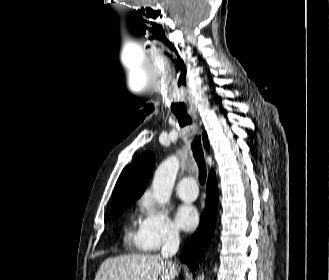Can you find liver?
<instances>
[{
    "mask_svg": "<svg viewBox=\"0 0 329 280\" xmlns=\"http://www.w3.org/2000/svg\"><path fill=\"white\" fill-rule=\"evenodd\" d=\"M178 273L160 255L129 254L103 261L94 280H174Z\"/></svg>",
    "mask_w": 329,
    "mask_h": 280,
    "instance_id": "1",
    "label": "liver"
}]
</instances>
